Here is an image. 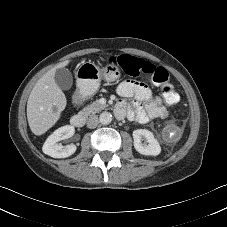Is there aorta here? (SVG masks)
I'll list each match as a JSON object with an SVG mask.
<instances>
[{
	"instance_id": "762f6f07",
	"label": "aorta",
	"mask_w": 227,
	"mask_h": 227,
	"mask_svg": "<svg viewBox=\"0 0 227 227\" xmlns=\"http://www.w3.org/2000/svg\"><path fill=\"white\" fill-rule=\"evenodd\" d=\"M112 121V115L109 112H102L99 116V122L103 125H108Z\"/></svg>"
}]
</instances>
